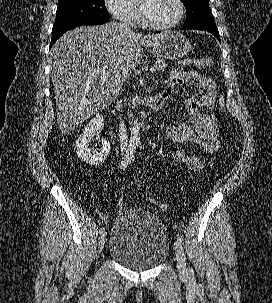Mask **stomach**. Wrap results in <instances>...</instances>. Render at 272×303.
<instances>
[{"label": "stomach", "instance_id": "obj_1", "mask_svg": "<svg viewBox=\"0 0 272 303\" xmlns=\"http://www.w3.org/2000/svg\"><path fill=\"white\" fill-rule=\"evenodd\" d=\"M191 47L190 41L181 33L169 32L152 46V53L163 60H178L187 55Z\"/></svg>", "mask_w": 272, "mask_h": 303}]
</instances>
